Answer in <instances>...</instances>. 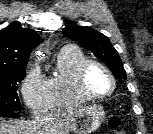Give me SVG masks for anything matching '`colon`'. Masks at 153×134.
Instances as JSON below:
<instances>
[{"label": "colon", "mask_w": 153, "mask_h": 134, "mask_svg": "<svg viewBox=\"0 0 153 134\" xmlns=\"http://www.w3.org/2000/svg\"><path fill=\"white\" fill-rule=\"evenodd\" d=\"M109 127L113 130L114 134H126V132L120 128V120L118 117L111 118Z\"/></svg>", "instance_id": "colon-1"}]
</instances>
